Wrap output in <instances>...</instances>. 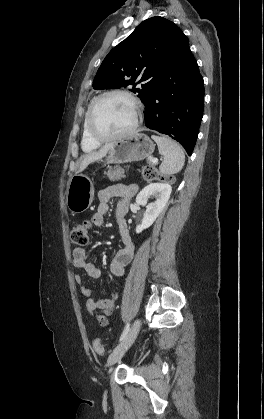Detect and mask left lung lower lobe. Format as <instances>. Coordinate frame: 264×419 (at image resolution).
I'll use <instances>...</instances> for the list:
<instances>
[{"label":"left lung lower lobe","mask_w":264,"mask_h":419,"mask_svg":"<svg viewBox=\"0 0 264 419\" xmlns=\"http://www.w3.org/2000/svg\"><path fill=\"white\" fill-rule=\"evenodd\" d=\"M169 75L159 79L145 101V125L169 135L191 155L203 116L204 82L187 37L174 42Z\"/></svg>","instance_id":"obj_1"}]
</instances>
